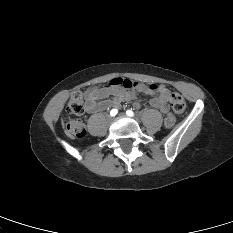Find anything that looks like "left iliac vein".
<instances>
[{"instance_id": "1", "label": "left iliac vein", "mask_w": 233, "mask_h": 233, "mask_svg": "<svg viewBox=\"0 0 233 233\" xmlns=\"http://www.w3.org/2000/svg\"><path fill=\"white\" fill-rule=\"evenodd\" d=\"M120 116L124 117V116H125V114H124V113H121V114H120Z\"/></svg>"}]
</instances>
